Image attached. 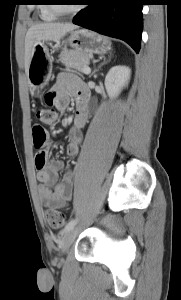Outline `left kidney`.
<instances>
[{
	"instance_id": "1",
	"label": "left kidney",
	"mask_w": 181,
	"mask_h": 300,
	"mask_svg": "<svg viewBox=\"0 0 181 300\" xmlns=\"http://www.w3.org/2000/svg\"><path fill=\"white\" fill-rule=\"evenodd\" d=\"M131 70L127 66L112 67L105 77V88L110 98H115L127 86Z\"/></svg>"
}]
</instances>
